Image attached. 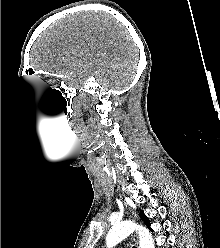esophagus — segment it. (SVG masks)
<instances>
[{
  "instance_id": "obj_1",
  "label": "esophagus",
  "mask_w": 220,
  "mask_h": 248,
  "mask_svg": "<svg viewBox=\"0 0 220 248\" xmlns=\"http://www.w3.org/2000/svg\"><path fill=\"white\" fill-rule=\"evenodd\" d=\"M134 237H135L136 241L138 242V237H137V235H136V234L134 235Z\"/></svg>"
}]
</instances>
